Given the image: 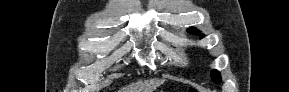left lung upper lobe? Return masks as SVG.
<instances>
[{
    "instance_id": "left-lung-upper-lobe-1",
    "label": "left lung upper lobe",
    "mask_w": 289,
    "mask_h": 92,
    "mask_svg": "<svg viewBox=\"0 0 289 92\" xmlns=\"http://www.w3.org/2000/svg\"><path fill=\"white\" fill-rule=\"evenodd\" d=\"M187 31L191 34H195V35L198 34L200 36V38H202L204 36L203 34L200 33V31L198 29H196L194 27L187 29ZM211 79L216 83L221 82L220 73L217 70L211 71Z\"/></svg>"
}]
</instances>
